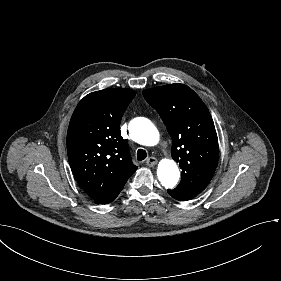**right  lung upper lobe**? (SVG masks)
I'll use <instances>...</instances> for the list:
<instances>
[{"mask_svg":"<svg viewBox=\"0 0 281 281\" xmlns=\"http://www.w3.org/2000/svg\"><path fill=\"white\" fill-rule=\"evenodd\" d=\"M135 94L125 88L90 93L71 117L67 132L69 164L81 188L95 202L124 185L137 170L119 130Z\"/></svg>","mask_w":281,"mask_h":281,"instance_id":"obj_1","label":"right lung upper lobe"}]
</instances>
